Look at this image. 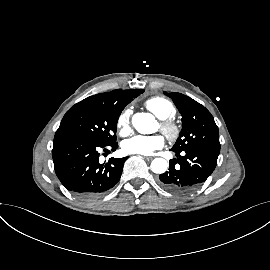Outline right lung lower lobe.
Here are the masks:
<instances>
[{"instance_id":"obj_1","label":"right lung lower lobe","mask_w":270,"mask_h":270,"mask_svg":"<svg viewBox=\"0 0 270 270\" xmlns=\"http://www.w3.org/2000/svg\"><path fill=\"white\" fill-rule=\"evenodd\" d=\"M116 150L117 142L101 145L88 138L72 135L54 138L52 157L57 177L63 186L76 196L91 199L112 188L120 179L124 158L99 162L103 149Z\"/></svg>"}]
</instances>
